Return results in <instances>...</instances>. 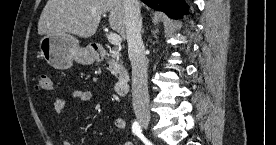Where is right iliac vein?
<instances>
[{
    "mask_svg": "<svg viewBox=\"0 0 276 145\" xmlns=\"http://www.w3.org/2000/svg\"><path fill=\"white\" fill-rule=\"evenodd\" d=\"M137 119L145 129L148 128V125L150 123V117L148 115H138Z\"/></svg>",
    "mask_w": 276,
    "mask_h": 145,
    "instance_id": "obj_1",
    "label": "right iliac vein"
}]
</instances>
